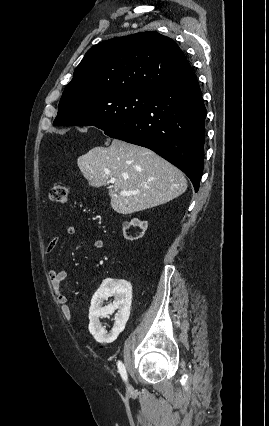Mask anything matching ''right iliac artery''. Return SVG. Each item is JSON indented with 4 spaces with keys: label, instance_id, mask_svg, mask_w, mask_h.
Instances as JSON below:
<instances>
[{
    "label": "right iliac artery",
    "instance_id": "obj_1",
    "mask_svg": "<svg viewBox=\"0 0 269 426\" xmlns=\"http://www.w3.org/2000/svg\"><path fill=\"white\" fill-rule=\"evenodd\" d=\"M117 367H118V370H119V373H120L122 379L124 381H127V372H126L124 364L121 361H118Z\"/></svg>",
    "mask_w": 269,
    "mask_h": 426
}]
</instances>
